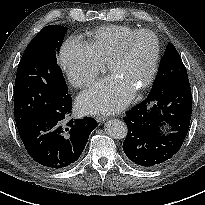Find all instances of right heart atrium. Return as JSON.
<instances>
[{
	"label": "right heart atrium",
	"instance_id": "1",
	"mask_svg": "<svg viewBox=\"0 0 205 205\" xmlns=\"http://www.w3.org/2000/svg\"><path fill=\"white\" fill-rule=\"evenodd\" d=\"M59 63L69 82L77 88L90 86L102 70V64L88 45L75 37H70L63 43Z\"/></svg>",
	"mask_w": 205,
	"mask_h": 205
}]
</instances>
